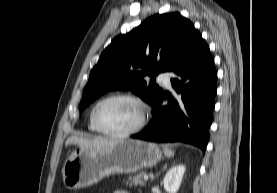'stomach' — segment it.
<instances>
[{"instance_id": "obj_1", "label": "stomach", "mask_w": 277, "mask_h": 193, "mask_svg": "<svg viewBox=\"0 0 277 193\" xmlns=\"http://www.w3.org/2000/svg\"><path fill=\"white\" fill-rule=\"evenodd\" d=\"M161 157L162 152L155 143L142 140L120 139L100 149L79 147L64 163L63 183L70 190L88 187L112 174L152 167Z\"/></svg>"}]
</instances>
